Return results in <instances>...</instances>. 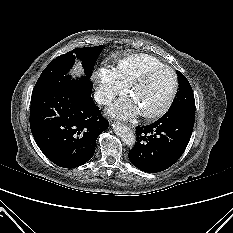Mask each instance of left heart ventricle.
Instances as JSON below:
<instances>
[{
	"label": "left heart ventricle",
	"instance_id": "b2bd125f",
	"mask_svg": "<svg viewBox=\"0 0 233 233\" xmlns=\"http://www.w3.org/2000/svg\"><path fill=\"white\" fill-rule=\"evenodd\" d=\"M173 83L170 72L159 70L152 73L131 93L140 112H150L160 107L169 95Z\"/></svg>",
	"mask_w": 233,
	"mask_h": 233
}]
</instances>
